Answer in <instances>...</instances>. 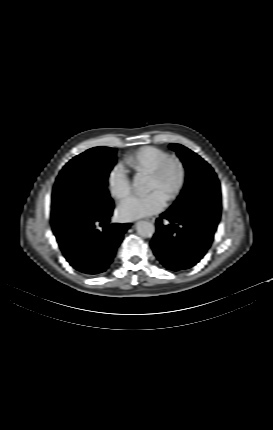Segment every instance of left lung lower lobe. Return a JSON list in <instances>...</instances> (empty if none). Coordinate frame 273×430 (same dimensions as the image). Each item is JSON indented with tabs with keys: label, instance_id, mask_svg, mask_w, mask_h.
Wrapping results in <instances>:
<instances>
[{
	"label": "left lung lower lobe",
	"instance_id": "left-lung-lower-lobe-1",
	"mask_svg": "<svg viewBox=\"0 0 273 430\" xmlns=\"http://www.w3.org/2000/svg\"><path fill=\"white\" fill-rule=\"evenodd\" d=\"M181 209H169L161 214L151 241L158 260L172 271L191 268L205 255L220 220L221 198L203 193L185 201ZM162 219H167L169 224L164 225Z\"/></svg>",
	"mask_w": 273,
	"mask_h": 430
}]
</instances>
